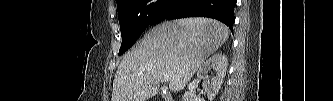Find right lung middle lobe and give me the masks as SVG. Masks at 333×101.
Masks as SVG:
<instances>
[{"instance_id": "dd1d6c3e", "label": "right lung middle lobe", "mask_w": 333, "mask_h": 101, "mask_svg": "<svg viewBox=\"0 0 333 101\" xmlns=\"http://www.w3.org/2000/svg\"><path fill=\"white\" fill-rule=\"evenodd\" d=\"M168 0H119L118 18L122 36L119 55L126 52L145 31L156 23Z\"/></svg>"}]
</instances>
